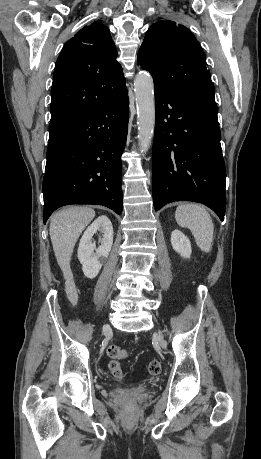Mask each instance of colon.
Masks as SVG:
<instances>
[{
  "label": "colon",
  "instance_id": "obj_1",
  "mask_svg": "<svg viewBox=\"0 0 261 459\" xmlns=\"http://www.w3.org/2000/svg\"><path fill=\"white\" fill-rule=\"evenodd\" d=\"M107 356L110 358V361L108 362V368L110 372L116 377V378H122L123 373L121 369V365L119 363V359H123L128 355V352L121 348L118 345H110L107 348ZM148 372L151 375H158L161 372V364L157 360H153L149 363L148 365Z\"/></svg>",
  "mask_w": 261,
  "mask_h": 459
}]
</instances>
